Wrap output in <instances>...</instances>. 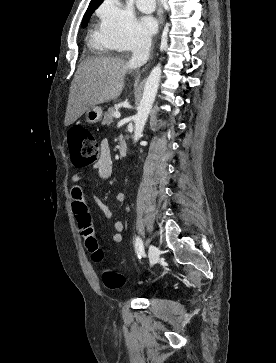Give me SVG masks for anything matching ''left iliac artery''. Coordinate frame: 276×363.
<instances>
[{
  "label": "left iliac artery",
  "instance_id": "44dca946",
  "mask_svg": "<svg viewBox=\"0 0 276 363\" xmlns=\"http://www.w3.org/2000/svg\"><path fill=\"white\" fill-rule=\"evenodd\" d=\"M135 249H136L138 258L140 259L144 252V248H143V242H142L141 238L138 236L135 238Z\"/></svg>",
  "mask_w": 276,
  "mask_h": 363
}]
</instances>
